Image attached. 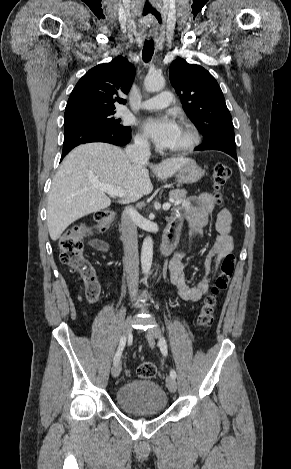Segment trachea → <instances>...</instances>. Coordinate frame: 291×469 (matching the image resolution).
<instances>
[{
	"label": "trachea",
	"mask_w": 291,
	"mask_h": 469,
	"mask_svg": "<svg viewBox=\"0 0 291 469\" xmlns=\"http://www.w3.org/2000/svg\"><path fill=\"white\" fill-rule=\"evenodd\" d=\"M154 53V41L151 40H145L144 47L142 50V58L144 62H149L153 56Z\"/></svg>",
	"instance_id": "obj_1"
}]
</instances>
